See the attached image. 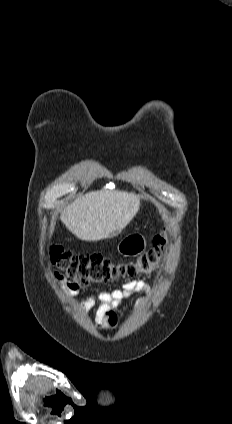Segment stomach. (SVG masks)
Here are the masks:
<instances>
[{"label": "stomach", "mask_w": 232, "mask_h": 424, "mask_svg": "<svg viewBox=\"0 0 232 424\" xmlns=\"http://www.w3.org/2000/svg\"><path fill=\"white\" fill-rule=\"evenodd\" d=\"M147 242L140 233H133L123 238L117 246V251L124 256H137L145 251Z\"/></svg>", "instance_id": "obj_1"}]
</instances>
